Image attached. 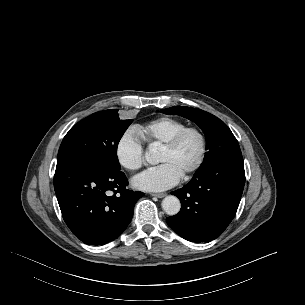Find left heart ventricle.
<instances>
[{
    "label": "left heart ventricle",
    "mask_w": 305,
    "mask_h": 305,
    "mask_svg": "<svg viewBox=\"0 0 305 305\" xmlns=\"http://www.w3.org/2000/svg\"><path fill=\"white\" fill-rule=\"evenodd\" d=\"M199 153V138L190 133L185 136L176 149L172 151L161 150L159 163H170L184 175L196 163Z\"/></svg>",
    "instance_id": "left-heart-ventricle-1"
}]
</instances>
